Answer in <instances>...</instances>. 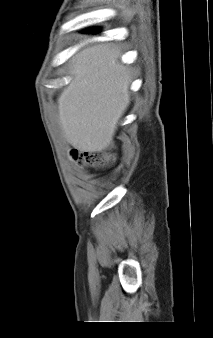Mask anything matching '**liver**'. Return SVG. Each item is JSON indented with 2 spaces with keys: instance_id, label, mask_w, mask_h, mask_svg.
Wrapping results in <instances>:
<instances>
[{
  "instance_id": "liver-1",
  "label": "liver",
  "mask_w": 213,
  "mask_h": 338,
  "mask_svg": "<svg viewBox=\"0 0 213 338\" xmlns=\"http://www.w3.org/2000/svg\"><path fill=\"white\" fill-rule=\"evenodd\" d=\"M119 59L111 44L87 45L72 57L57 111L65 139L81 152L106 149L129 106L131 76Z\"/></svg>"
}]
</instances>
